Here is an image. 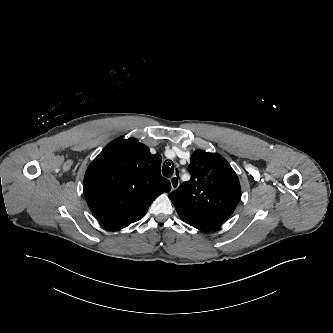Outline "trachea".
Wrapping results in <instances>:
<instances>
[{"label": "trachea", "mask_w": 333, "mask_h": 333, "mask_svg": "<svg viewBox=\"0 0 333 333\" xmlns=\"http://www.w3.org/2000/svg\"><path fill=\"white\" fill-rule=\"evenodd\" d=\"M171 162H166V164L165 163L163 164L162 173L165 177H171L174 172V164L172 162V165H171ZM176 171H177V169H176Z\"/></svg>", "instance_id": "trachea-1"}]
</instances>
